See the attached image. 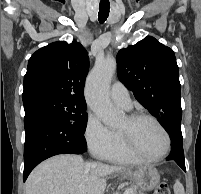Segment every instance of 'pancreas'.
<instances>
[{
	"label": "pancreas",
	"instance_id": "pancreas-1",
	"mask_svg": "<svg viewBox=\"0 0 201 194\" xmlns=\"http://www.w3.org/2000/svg\"><path fill=\"white\" fill-rule=\"evenodd\" d=\"M130 194H143L142 192H138L135 187H130Z\"/></svg>",
	"mask_w": 201,
	"mask_h": 194
}]
</instances>
